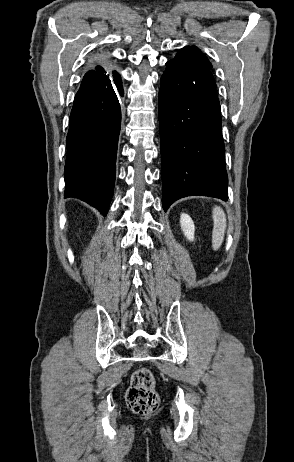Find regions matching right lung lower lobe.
I'll return each mask as SVG.
<instances>
[{
    "mask_svg": "<svg viewBox=\"0 0 294 462\" xmlns=\"http://www.w3.org/2000/svg\"><path fill=\"white\" fill-rule=\"evenodd\" d=\"M120 76L83 82L74 98L66 139L65 197L106 215L113 195L121 125Z\"/></svg>",
    "mask_w": 294,
    "mask_h": 462,
    "instance_id": "right-lung-lower-lobe-1",
    "label": "right lung lower lobe"
}]
</instances>
